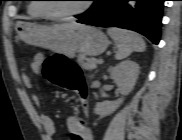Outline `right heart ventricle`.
<instances>
[{
  "label": "right heart ventricle",
  "mask_w": 182,
  "mask_h": 140,
  "mask_svg": "<svg viewBox=\"0 0 182 140\" xmlns=\"http://www.w3.org/2000/svg\"><path fill=\"white\" fill-rule=\"evenodd\" d=\"M37 1V0H33ZM28 13L32 17H41L43 14L39 10V5L37 3H31L28 5Z\"/></svg>",
  "instance_id": "e07e8e85"
}]
</instances>
